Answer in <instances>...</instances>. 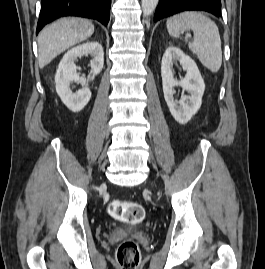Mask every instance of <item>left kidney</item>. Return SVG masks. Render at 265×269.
<instances>
[{"label": "left kidney", "mask_w": 265, "mask_h": 269, "mask_svg": "<svg viewBox=\"0 0 265 269\" xmlns=\"http://www.w3.org/2000/svg\"><path fill=\"white\" fill-rule=\"evenodd\" d=\"M175 61H179L187 71L180 81L173 77L172 63ZM161 76L164 98L170 113L177 122L186 124L201 107L205 90V83L196 63L178 47L169 46L162 57ZM177 85L182 86L190 95L177 101L174 98V87Z\"/></svg>", "instance_id": "5707ae66"}]
</instances>
